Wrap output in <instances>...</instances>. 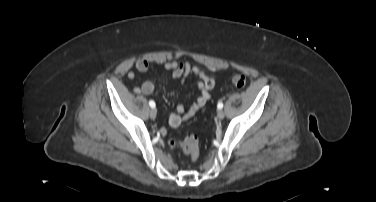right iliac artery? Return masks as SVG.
I'll return each instance as SVG.
<instances>
[{"mask_svg": "<svg viewBox=\"0 0 376 202\" xmlns=\"http://www.w3.org/2000/svg\"><path fill=\"white\" fill-rule=\"evenodd\" d=\"M149 106L151 107V108H155V102L154 101H152V100H150L149 101Z\"/></svg>", "mask_w": 376, "mask_h": 202, "instance_id": "obj_1", "label": "right iliac artery"}]
</instances>
